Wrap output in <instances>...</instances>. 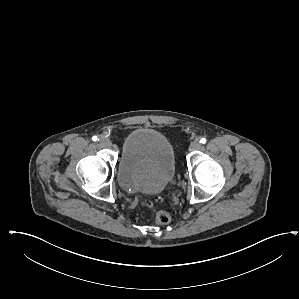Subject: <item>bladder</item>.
Returning a JSON list of instances; mask_svg holds the SVG:
<instances>
[{"label":"bladder","instance_id":"31cf9c89","mask_svg":"<svg viewBox=\"0 0 299 299\" xmlns=\"http://www.w3.org/2000/svg\"><path fill=\"white\" fill-rule=\"evenodd\" d=\"M175 172V151L164 134L139 127L127 135L117 168L122 189L157 193L170 184Z\"/></svg>","mask_w":299,"mask_h":299}]
</instances>
